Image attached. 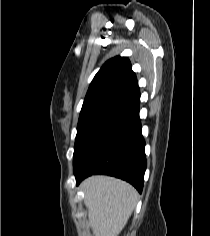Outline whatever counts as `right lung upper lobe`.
<instances>
[{
    "label": "right lung upper lobe",
    "instance_id": "cb5924a9",
    "mask_svg": "<svg viewBox=\"0 0 210 236\" xmlns=\"http://www.w3.org/2000/svg\"><path fill=\"white\" fill-rule=\"evenodd\" d=\"M137 89L139 87L130 61L126 57L118 56L108 60L95 75L84 103L105 97L117 90L135 92Z\"/></svg>",
    "mask_w": 210,
    "mask_h": 236
}]
</instances>
